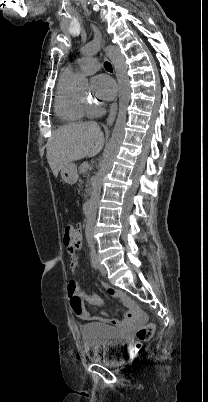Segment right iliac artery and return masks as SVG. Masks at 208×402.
<instances>
[{
  "mask_svg": "<svg viewBox=\"0 0 208 402\" xmlns=\"http://www.w3.org/2000/svg\"><path fill=\"white\" fill-rule=\"evenodd\" d=\"M91 264H92V267H93L95 270L98 269V261H97V258H96V255H95V254H92V255H91Z\"/></svg>",
  "mask_w": 208,
  "mask_h": 402,
  "instance_id": "1",
  "label": "right iliac artery"
}]
</instances>
